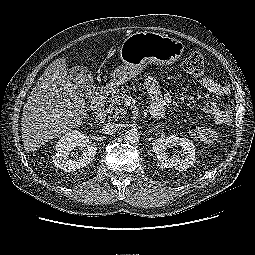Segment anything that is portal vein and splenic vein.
I'll return each instance as SVG.
<instances>
[{
  "instance_id": "18ae733b",
  "label": "portal vein and splenic vein",
  "mask_w": 255,
  "mask_h": 255,
  "mask_svg": "<svg viewBox=\"0 0 255 255\" xmlns=\"http://www.w3.org/2000/svg\"><path fill=\"white\" fill-rule=\"evenodd\" d=\"M124 102L125 103H129V104H131L132 102H133V98L132 97H126V98H124Z\"/></svg>"
}]
</instances>
